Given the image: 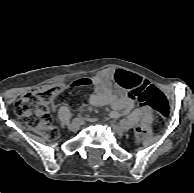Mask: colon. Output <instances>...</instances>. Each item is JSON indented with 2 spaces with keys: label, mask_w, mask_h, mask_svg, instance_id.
Masks as SVG:
<instances>
[{
  "label": "colon",
  "mask_w": 194,
  "mask_h": 193,
  "mask_svg": "<svg viewBox=\"0 0 194 193\" xmlns=\"http://www.w3.org/2000/svg\"><path fill=\"white\" fill-rule=\"evenodd\" d=\"M118 83L127 88L143 107H148L155 116H162L169 110L165 96L154 86L138 88V81L129 74L118 72ZM90 84L88 79L73 82H60L46 85L25 93L14 105V112L20 125L25 129L37 131L44 139L57 140L59 130L52 124L49 105L55 97L69 88H84ZM139 136L147 137V131H140Z\"/></svg>",
  "instance_id": "1"
}]
</instances>
